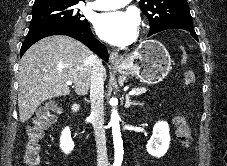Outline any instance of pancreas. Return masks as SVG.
<instances>
[{
  "label": "pancreas",
  "instance_id": "pancreas-1",
  "mask_svg": "<svg viewBox=\"0 0 227 166\" xmlns=\"http://www.w3.org/2000/svg\"><path fill=\"white\" fill-rule=\"evenodd\" d=\"M135 90H137V93L135 95H141L147 91L144 87L136 88Z\"/></svg>",
  "mask_w": 227,
  "mask_h": 166
}]
</instances>
